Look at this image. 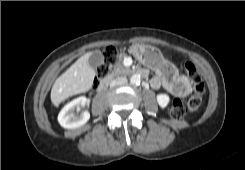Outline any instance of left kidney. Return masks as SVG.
Returning <instances> with one entry per match:
<instances>
[{
  "label": "left kidney",
  "mask_w": 245,
  "mask_h": 170,
  "mask_svg": "<svg viewBox=\"0 0 245 170\" xmlns=\"http://www.w3.org/2000/svg\"><path fill=\"white\" fill-rule=\"evenodd\" d=\"M170 101V97L167 94H158L157 95V102L160 107L165 108Z\"/></svg>",
  "instance_id": "obj_1"
}]
</instances>
